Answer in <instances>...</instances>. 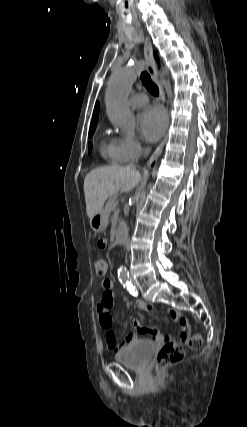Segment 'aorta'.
<instances>
[{"mask_svg": "<svg viewBox=\"0 0 247 427\" xmlns=\"http://www.w3.org/2000/svg\"><path fill=\"white\" fill-rule=\"evenodd\" d=\"M141 66V62H134L131 65L116 68L106 90L105 101L108 118L128 136L135 134L136 123L128 108L127 99ZM164 72L167 73V70ZM119 272L125 273L126 268L121 266Z\"/></svg>", "mask_w": 247, "mask_h": 427, "instance_id": "obj_1", "label": "aorta"}]
</instances>
